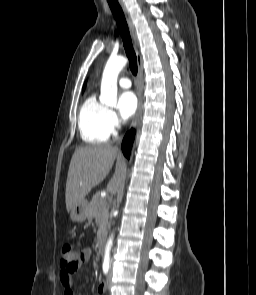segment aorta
I'll return each mask as SVG.
<instances>
[{
	"instance_id": "aorta-1",
	"label": "aorta",
	"mask_w": 256,
	"mask_h": 295,
	"mask_svg": "<svg viewBox=\"0 0 256 295\" xmlns=\"http://www.w3.org/2000/svg\"><path fill=\"white\" fill-rule=\"evenodd\" d=\"M127 64V59L123 56L110 57L102 75L100 102L110 107L117 104V78L120 71ZM113 245V236L106 244L104 260L109 262L110 251Z\"/></svg>"
}]
</instances>
